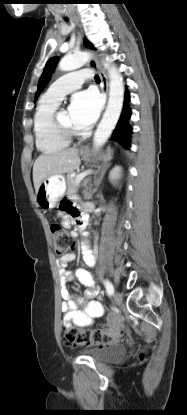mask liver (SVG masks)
<instances>
[{"mask_svg":"<svg viewBox=\"0 0 187 415\" xmlns=\"http://www.w3.org/2000/svg\"><path fill=\"white\" fill-rule=\"evenodd\" d=\"M79 165L80 158L76 148L41 154L33 165V183L36 193L47 177L73 172Z\"/></svg>","mask_w":187,"mask_h":415,"instance_id":"liver-1","label":"liver"}]
</instances>
